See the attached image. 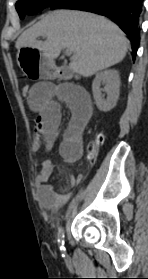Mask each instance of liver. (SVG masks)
Returning <instances> with one entry per match:
<instances>
[{
    "label": "liver",
    "instance_id": "6515ba94",
    "mask_svg": "<svg viewBox=\"0 0 148 279\" xmlns=\"http://www.w3.org/2000/svg\"><path fill=\"white\" fill-rule=\"evenodd\" d=\"M42 36L45 41L37 38ZM16 48L37 49L54 62L63 48L72 49L70 69L83 77L122 61L129 41L123 31L105 17L83 11H51L24 31Z\"/></svg>",
    "mask_w": 148,
    "mask_h": 279
}]
</instances>
